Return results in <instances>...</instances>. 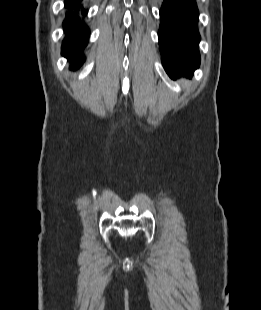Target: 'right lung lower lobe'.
I'll return each mask as SVG.
<instances>
[{
    "label": "right lung lower lobe",
    "mask_w": 261,
    "mask_h": 310,
    "mask_svg": "<svg viewBox=\"0 0 261 310\" xmlns=\"http://www.w3.org/2000/svg\"><path fill=\"white\" fill-rule=\"evenodd\" d=\"M81 0H65V5L71 8H79ZM82 14L85 16L87 10L81 8ZM63 28L66 33V37L62 45V54L72 61L71 69L79 67L84 58L82 57V49L88 41L89 29L83 23H80L78 14L68 13L63 23Z\"/></svg>",
    "instance_id": "obj_1"
}]
</instances>
